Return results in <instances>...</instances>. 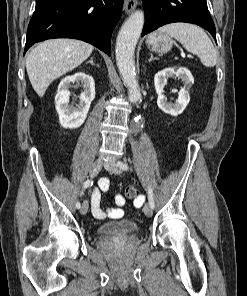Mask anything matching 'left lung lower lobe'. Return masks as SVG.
<instances>
[{
	"mask_svg": "<svg viewBox=\"0 0 247 296\" xmlns=\"http://www.w3.org/2000/svg\"><path fill=\"white\" fill-rule=\"evenodd\" d=\"M146 25L141 36L173 22L197 24L216 39V29L206 0H142Z\"/></svg>",
	"mask_w": 247,
	"mask_h": 296,
	"instance_id": "0a47b994",
	"label": "left lung lower lobe"
}]
</instances>
